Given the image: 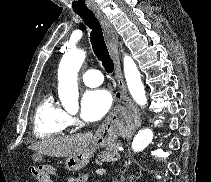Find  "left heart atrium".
<instances>
[{
	"mask_svg": "<svg viewBox=\"0 0 211 182\" xmlns=\"http://www.w3.org/2000/svg\"><path fill=\"white\" fill-rule=\"evenodd\" d=\"M112 106V96L105 89L88 90L81 101V117L87 122L102 119Z\"/></svg>",
	"mask_w": 211,
	"mask_h": 182,
	"instance_id": "1",
	"label": "left heart atrium"
}]
</instances>
